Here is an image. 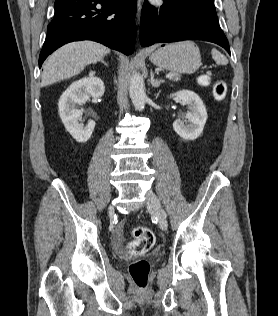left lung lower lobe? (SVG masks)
I'll list each match as a JSON object with an SVG mask.
<instances>
[{"mask_svg": "<svg viewBox=\"0 0 278 316\" xmlns=\"http://www.w3.org/2000/svg\"><path fill=\"white\" fill-rule=\"evenodd\" d=\"M203 40L223 47L230 55L226 36L217 20L169 0L155 9L147 1L142 8L140 43L143 47L161 42Z\"/></svg>", "mask_w": 278, "mask_h": 316, "instance_id": "obj_1", "label": "left lung lower lobe"}]
</instances>
